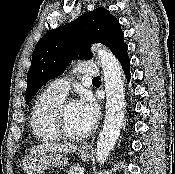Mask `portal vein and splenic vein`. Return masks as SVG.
Returning <instances> with one entry per match:
<instances>
[{
	"instance_id": "1",
	"label": "portal vein and splenic vein",
	"mask_w": 175,
	"mask_h": 174,
	"mask_svg": "<svg viewBox=\"0 0 175 174\" xmlns=\"http://www.w3.org/2000/svg\"><path fill=\"white\" fill-rule=\"evenodd\" d=\"M78 174H84V171L83 170H79Z\"/></svg>"
}]
</instances>
